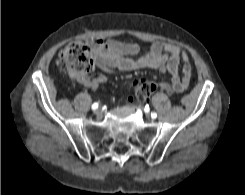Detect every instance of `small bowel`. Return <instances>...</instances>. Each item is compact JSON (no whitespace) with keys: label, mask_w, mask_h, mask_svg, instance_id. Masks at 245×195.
<instances>
[{"label":"small bowel","mask_w":245,"mask_h":195,"mask_svg":"<svg viewBox=\"0 0 245 195\" xmlns=\"http://www.w3.org/2000/svg\"><path fill=\"white\" fill-rule=\"evenodd\" d=\"M87 47L95 64L104 73L152 68L161 74H170L171 83H161L162 90L166 92L181 93L189 86L192 67L188 55L178 46L157 41L147 51L141 52L137 43L94 40L89 42ZM82 82L92 90H96L105 82V76L97 74Z\"/></svg>","instance_id":"1"}]
</instances>
